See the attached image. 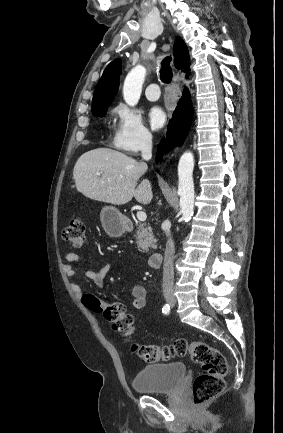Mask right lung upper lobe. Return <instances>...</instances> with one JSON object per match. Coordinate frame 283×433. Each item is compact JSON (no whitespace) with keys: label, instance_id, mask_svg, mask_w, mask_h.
<instances>
[{"label":"right lung upper lobe","instance_id":"obj_1","mask_svg":"<svg viewBox=\"0 0 283 433\" xmlns=\"http://www.w3.org/2000/svg\"><path fill=\"white\" fill-rule=\"evenodd\" d=\"M174 64L177 69L187 72L189 69V53L185 42L177 37L173 47ZM121 60L115 59L105 69L98 82L92 102V111L109 106L118 91Z\"/></svg>","mask_w":283,"mask_h":433}]
</instances>
